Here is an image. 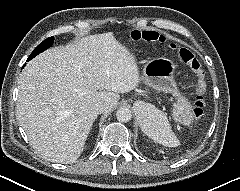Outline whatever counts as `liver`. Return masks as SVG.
I'll use <instances>...</instances> for the list:
<instances>
[{"label":"liver","mask_w":240,"mask_h":191,"mask_svg":"<svg viewBox=\"0 0 240 191\" xmlns=\"http://www.w3.org/2000/svg\"><path fill=\"white\" fill-rule=\"evenodd\" d=\"M140 82L134 56L112 32L88 35L33 58L20 76L17 118L32 146L57 163L77 160L97 118Z\"/></svg>","instance_id":"liver-1"}]
</instances>
